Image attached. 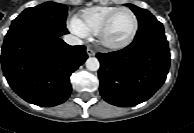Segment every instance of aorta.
<instances>
[{
  "instance_id": "obj_1",
  "label": "aorta",
  "mask_w": 194,
  "mask_h": 133,
  "mask_svg": "<svg viewBox=\"0 0 194 133\" xmlns=\"http://www.w3.org/2000/svg\"><path fill=\"white\" fill-rule=\"evenodd\" d=\"M85 66L89 71H97L100 67V62L95 57H90L86 60Z\"/></svg>"
}]
</instances>
